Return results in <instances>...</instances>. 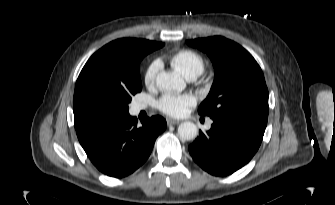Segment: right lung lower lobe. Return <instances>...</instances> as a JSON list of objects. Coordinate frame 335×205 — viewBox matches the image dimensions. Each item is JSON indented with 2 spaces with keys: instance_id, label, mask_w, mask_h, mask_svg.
<instances>
[{
  "instance_id": "obj_1",
  "label": "right lung lower lobe",
  "mask_w": 335,
  "mask_h": 205,
  "mask_svg": "<svg viewBox=\"0 0 335 205\" xmlns=\"http://www.w3.org/2000/svg\"><path fill=\"white\" fill-rule=\"evenodd\" d=\"M166 120L152 116L137 126L129 114L76 130L92 163L104 174L121 178L133 173L149 157L156 138L166 129Z\"/></svg>"
}]
</instances>
